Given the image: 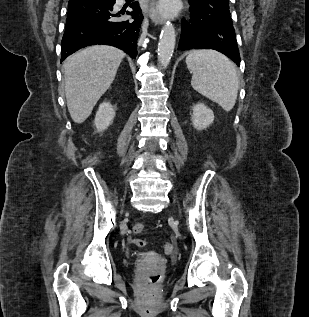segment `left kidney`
I'll use <instances>...</instances> for the list:
<instances>
[{
  "label": "left kidney",
  "mask_w": 309,
  "mask_h": 317,
  "mask_svg": "<svg viewBox=\"0 0 309 317\" xmlns=\"http://www.w3.org/2000/svg\"><path fill=\"white\" fill-rule=\"evenodd\" d=\"M192 124L197 130L206 129L214 120V114L211 109L203 103H198L193 107Z\"/></svg>",
  "instance_id": "5707ae66"
}]
</instances>
